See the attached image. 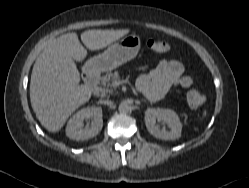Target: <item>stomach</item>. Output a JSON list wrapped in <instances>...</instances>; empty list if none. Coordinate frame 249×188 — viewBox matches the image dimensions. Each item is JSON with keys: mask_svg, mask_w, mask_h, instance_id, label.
I'll return each instance as SVG.
<instances>
[{"mask_svg": "<svg viewBox=\"0 0 249 188\" xmlns=\"http://www.w3.org/2000/svg\"><path fill=\"white\" fill-rule=\"evenodd\" d=\"M140 44L141 41L137 35L125 36L108 46L103 53L89 59L86 66L94 72L113 70L135 58L140 49Z\"/></svg>", "mask_w": 249, "mask_h": 188, "instance_id": "0dacf381", "label": "stomach"}]
</instances>
